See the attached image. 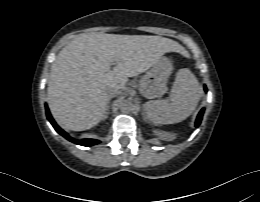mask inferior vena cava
Masks as SVG:
<instances>
[{
    "label": "inferior vena cava",
    "instance_id": "inferior-vena-cava-1",
    "mask_svg": "<svg viewBox=\"0 0 260 202\" xmlns=\"http://www.w3.org/2000/svg\"><path fill=\"white\" fill-rule=\"evenodd\" d=\"M121 89L118 88V87H114V88H110L108 91H107V96L109 98H114L118 95H121Z\"/></svg>",
    "mask_w": 260,
    "mask_h": 202
}]
</instances>
